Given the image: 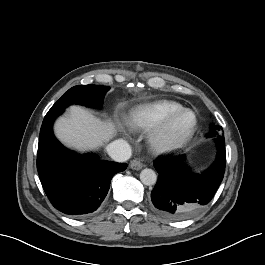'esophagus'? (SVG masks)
<instances>
[{"label": "esophagus", "instance_id": "1", "mask_svg": "<svg viewBox=\"0 0 265 265\" xmlns=\"http://www.w3.org/2000/svg\"><path fill=\"white\" fill-rule=\"evenodd\" d=\"M130 168L133 170H140L143 167V164L140 159H134L130 162Z\"/></svg>", "mask_w": 265, "mask_h": 265}]
</instances>
